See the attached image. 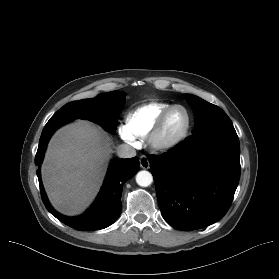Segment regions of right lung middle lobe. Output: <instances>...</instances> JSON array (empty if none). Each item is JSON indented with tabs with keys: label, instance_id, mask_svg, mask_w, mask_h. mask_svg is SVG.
<instances>
[{
	"label": "right lung middle lobe",
	"instance_id": "1",
	"mask_svg": "<svg viewBox=\"0 0 279 279\" xmlns=\"http://www.w3.org/2000/svg\"><path fill=\"white\" fill-rule=\"evenodd\" d=\"M126 93L113 91L92 99L73 101L56 112L45 127L61 125L73 119H88L100 124L111 133L116 132L117 119L122 111Z\"/></svg>",
	"mask_w": 279,
	"mask_h": 279
}]
</instances>
